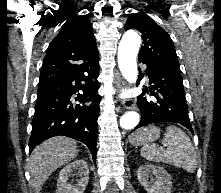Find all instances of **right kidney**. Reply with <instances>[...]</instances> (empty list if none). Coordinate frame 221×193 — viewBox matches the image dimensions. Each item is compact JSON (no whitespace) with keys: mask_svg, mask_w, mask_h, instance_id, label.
<instances>
[{"mask_svg":"<svg viewBox=\"0 0 221 193\" xmlns=\"http://www.w3.org/2000/svg\"><path fill=\"white\" fill-rule=\"evenodd\" d=\"M78 171L80 180L76 184L69 183V176ZM89 180V168L85 160L79 159L66 165L59 174L56 193H84Z\"/></svg>","mask_w":221,"mask_h":193,"instance_id":"obj_1","label":"right kidney"}]
</instances>
